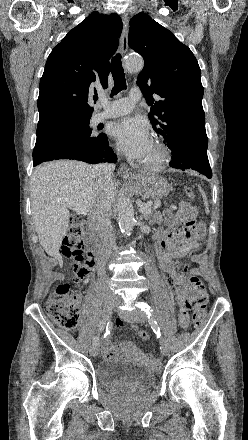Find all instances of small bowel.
<instances>
[{
    "mask_svg": "<svg viewBox=\"0 0 248 440\" xmlns=\"http://www.w3.org/2000/svg\"><path fill=\"white\" fill-rule=\"evenodd\" d=\"M204 235L205 230L202 226L191 223L187 206L183 204L175 222L157 242L159 264L166 282L169 286H176V296L180 303V308L176 312L179 317L177 326L182 331L187 330L190 324L188 310L194 307L196 299V289L192 286L191 279L199 274V269L196 267L188 269V265L179 259L195 251ZM191 260L199 263L202 257L199 254H194ZM181 268L188 276L178 273V269ZM116 326H123V322L117 321ZM133 328L137 329L136 326ZM101 355L104 359L125 356L153 366L158 365L157 360L144 356L134 344L130 342L111 344L108 336L104 338Z\"/></svg>",
    "mask_w": 248,
    "mask_h": 440,
    "instance_id": "1",
    "label": "small bowel"
}]
</instances>
